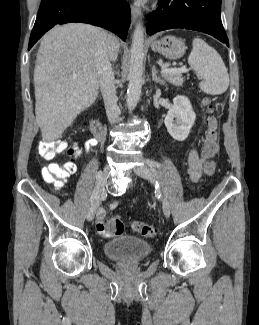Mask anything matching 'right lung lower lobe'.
I'll return each instance as SVG.
<instances>
[{
	"label": "right lung lower lobe",
	"instance_id": "98d812e1",
	"mask_svg": "<svg viewBox=\"0 0 259 325\" xmlns=\"http://www.w3.org/2000/svg\"><path fill=\"white\" fill-rule=\"evenodd\" d=\"M70 22L100 26L125 40L130 26V7L123 0H42L28 50L54 25Z\"/></svg>",
	"mask_w": 259,
	"mask_h": 325
}]
</instances>
